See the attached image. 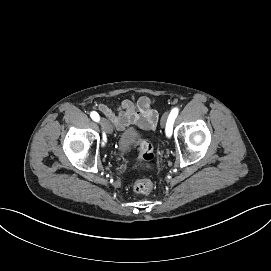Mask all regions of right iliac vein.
<instances>
[{
  "label": "right iliac vein",
  "instance_id": "1",
  "mask_svg": "<svg viewBox=\"0 0 271 271\" xmlns=\"http://www.w3.org/2000/svg\"><path fill=\"white\" fill-rule=\"evenodd\" d=\"M101 124L107 133H112V131H113L112 125L107 119L102 118Z\"/></svg>",
  "mask_w": 271,
  "mask_h": 271
}]
</instances>
